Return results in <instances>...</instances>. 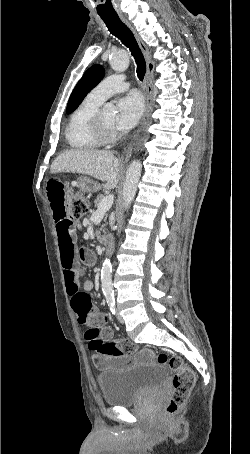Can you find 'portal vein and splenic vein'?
Here are the masks:
<instances>
[{
  "label": "portal vein and splenic vein",
  "instance_id": "portal-vein-and-splenic-vein-1",
  "mask_svg": "<svg viewBox=\"0 0 250 454\" xmlns=\"http://www.w3.org/2000/svg\"><path fill=\"white\" fill-rule=\"evenodd\" d=\"M114 196L108 195L104 197L97 206V210L95 212L96 215L105 214L113 205Z\"/></svg>",
  "mask_w": 250,
  "mask_h": 454
}]
</instances>
